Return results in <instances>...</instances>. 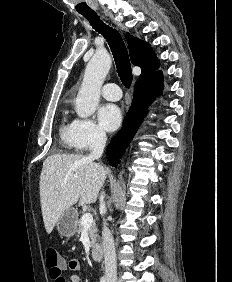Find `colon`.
<instances>
[{
	"instance_id": "obj_1",
	"label": "colon",
	"mask_w": 232,
	"mask_h": 282,
	"mask_svg": "<svg viewBox=\"0 0 232 282\" xmlns=\"http://www.w3.org/2000/svg\"><path fill=\"white\" fill-rule=\"evenodd\" d=\"M45 260L46 266L49 270L50 275L52 276H60L63 267V260L56 249L53 247H48L45 250Z\"/></svg>"
}]
</instances>
